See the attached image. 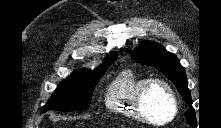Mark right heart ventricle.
Returning <instances> with one entry per match:
<instances>
[{
	"label": "right heart ventricle",
	"mask_w": 221,
	"mask_h": 128,
	"mask_svg": "<svg viewBox=\"0 0 221 128\" xmlns=\"http://www.w3.org/2000/svg\"><path fill=\"white\" fill-rule=\"evenodd\" d=\"M146 79L130 68L120 71L108 86L107 107L118 116L141 119L135 108V94Z\"/></svg>",
	"instance_id": "1"
}]
</instances>
